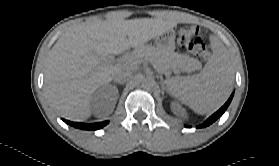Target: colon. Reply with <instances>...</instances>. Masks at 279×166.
<instances>
[{"label":"colon","instance_id":"obj_1","mask_svg":"<svg viewBox=\"0 0 279 166\" xmlns=\"http://www.w3.org/2000/svg\"><path fill=\"white\" fill-rule=\"evenodd\" d=\"M180 45L201 60H207L210 56L207 45L200 36V29L195 25L181 26L178 31Z\"/></svg>","mask_w":279,"mask_h":166}]
</instances>
